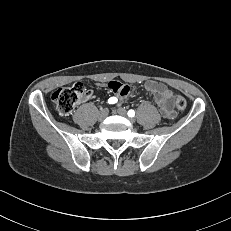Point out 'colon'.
Masks as SVG:
<instances>
[{
    "label": "colon",
    "instance_id": "obj_1",
    "mask_svg": "<svg viewBox=\"0 0 231 231\" xmlns=\"http://www.w3.org/2000/svg\"><path fill=\"white\" fill-rule=\"evenodd\" d=\"M88 96V91L82 83H75L71 86H65L57 89L52 94L57 111L63 116L70 115L75 107L85 100ZM175 105L179 110H184L187 107V101L183 96H176Z\"/></svg>",
    "mask_w": 231,
    "mask_h": 231
}]
</instances>
